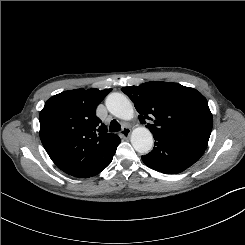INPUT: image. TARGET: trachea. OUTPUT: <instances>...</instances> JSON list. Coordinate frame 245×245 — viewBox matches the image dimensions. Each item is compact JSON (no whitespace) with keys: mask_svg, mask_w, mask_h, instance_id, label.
I'll return each instance as SVG.
<instances>
[{"mask_svg":"<svg viewBox=\"0 0 245 245\" xmlns=\"http://www.w3.org/2000/svg\"><path fill=\"white\" fill-rule=\"evenodd\" d=\"M121 130V125L116 121L112 120L109 127V132H118Z\"/></svg>","mask_w":245,"mask_h":245,"instance_id":"obj_1","label":"trachea"}]
</instances>
